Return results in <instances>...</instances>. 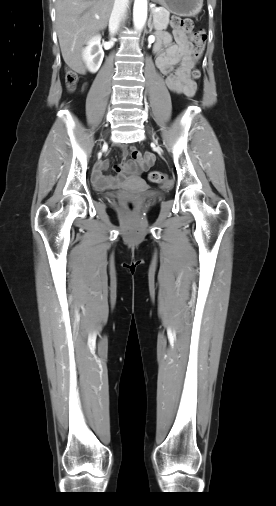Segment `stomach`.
<instances>
[{"instance_id": "stomach-1", "label": "stomach", "mask_w": 276, "mask_h": 506, "mask_svg": "<svg viewBox=\"0 0 276 506\" xmlns=\"http://www.w3.org/2000/svg\"><path fill=\"white\" fill-rule=\"evenodd\" d=\"M178 16H195L203 6V0H153Z\"/></svg>"}]
</instances>
